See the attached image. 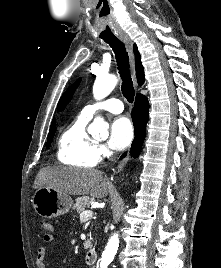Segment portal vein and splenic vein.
<instances>
[{
  "instance_id": "portal-vein-and-splenic-vein-1",
  "label": "portal vein and splenic vein",
  "mask_w": 221,
  "mask_h": 268,
  "mask_svg": "<svg viewBox=\"0 0 221 268\" xmlns=\"http://www.w3.org/2000/svg\"><path fill=\"white\" fill-rule=\"evenodd\" d=\"M93 216V212L91 210H84L80 213V219H90Z\"/></svg>"
}]
</instances>
